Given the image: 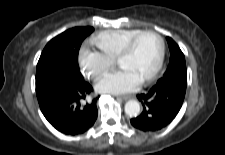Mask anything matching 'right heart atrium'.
I'll use <instances>...</instances> for the list:
<instances>
[{"instance_id": "1", "label": "right heart atrium", "mask_w": 225, "mask_h": 155, "mask_svg": "<svg viewBox=\"0 0 225 155\" xmlns=\"http://www.w3.org/2000/svg\"><path fill=\"white\" fill-rule=\"evenodd\" d=\"M80 69L85 77L97 80L105 74L113 64V60L87 44L81 46L78 54Z\"/></svg>"}]
</instances>
